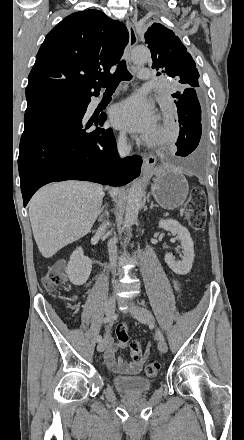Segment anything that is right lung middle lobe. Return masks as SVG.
<instances>
[{
    "instance_id": "dd1d6c3e",
    "label": "right lung middle lobe",
    "mask_w": 244,
    "mask_h": 440,
    "mask_svg": "<svg viewBox=\"0 0 244 440\" xmlns=\"http://www.w3.org/2000/svg\"><path fill=\"white\" fill-rule=\"evenodd\" d=\"M35 102H56V103L70 104L75 107H82L84 106L86 99L73 98V97H43V98L27 99V103H35Z\"/></svg>"
}]
</instances>
